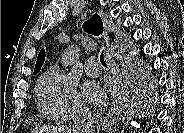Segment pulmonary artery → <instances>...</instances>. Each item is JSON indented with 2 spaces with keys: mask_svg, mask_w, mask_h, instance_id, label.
I'll use <instances>...</instances> for the list:
<instances>
[{
  "mask_svg": "<svg viewBox=\"0 0 184 133\" xmlns=\"http://www.w3.org/2000/svg\"><path fill=\"white\" fill-rule=\"evenodd\" d=\"M84 70L89 76H98L101 73V67L95 57H91L86 61Z\"/></svg>",
  "mask_w": 184,
  "mask_h": 133,
  "instance_id": "1",
  "label": "pulmonary artery"
}]
</instances>
